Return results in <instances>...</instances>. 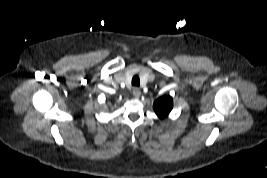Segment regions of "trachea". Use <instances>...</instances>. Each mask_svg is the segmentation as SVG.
I'll use <instances>...</instances> for the list:
<instances>
[{"mask_svg": "<svg viewBox=\"0 0 267 178\" xmlns=\"http://www.w3.org/2000/svg\"><path fill=\"white\" fill-rule=\"evenodd\" d=\"M132 85L138 87L140 85V79L137 75L132 78Z\"/></svg>", "mask_w": 267, "mask_h": 178, "instance_id": "1", "label": "trachea"}]
</instances>
